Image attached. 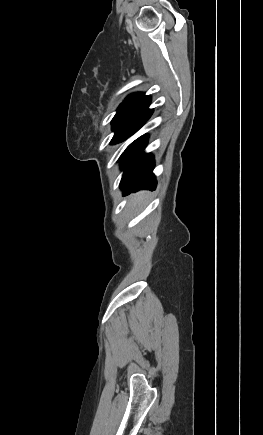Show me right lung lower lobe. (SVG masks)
Segmentation results:
<instances>
[{"label":"right lung lower lobe","instance_id":"98d812e1","mask_svg":"<svg viewBox=\"0 0 263 435\" xmlns=\"http://www.w3.org/2000/svg\"><path fill=\"white\" fill-rule=\"evenodd\" d=\"M153 110L149 109V104L144 108L135 120L126 138L138 131L149 119ZM148 140V135H143L131 143L122 154L120 163L124 174L121 180V189L124 195L140 189L153 190L156 187L155 176L152 173L154 168V158L150 154L143 153Z\"/></svg>","mask_w":263,"mask_h":435}]
</instances>
